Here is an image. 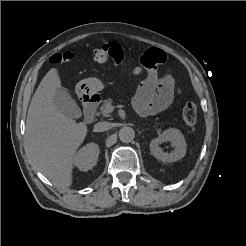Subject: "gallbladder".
<instances>
[{
    "mask_svg": "<svg viewBox=\"0 0 246 246\" xmlns=\"http://www.w3.org/2000/svg\"><path fill=\"white\" fill-rule=\"evenodd\" d=\"M53 102L57 109L66 116L79 118L82 115L77 103L65 88L57 89Z\"/></svg>",
    "mask_w": 246,
    "mask_h": 246,
    "instance_id": "gallbladder-1",
    "label": "gallbladder"
}]
</instances>
